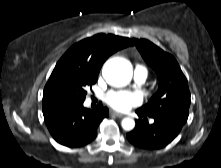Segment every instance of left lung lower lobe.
<instances>
[{
    "label": "left lung lower lobe",
    "instance_id": "1",
    "mask_svg": "<svg viewBox=\"0 0 221 168\" xmlns=\"http://www.w3.org/2000/svg\"><path fill=\"white\" fill-rule=\"evenodd\" d=\"M140 117L136 120L135 128L127 133V139L134 146L142 149H160L168 145L180 132L187 121L174 115H147L138 110ZM153 118L149 124L147 118Z\"/></svg>",
    "mask_w": 221,
    "mask_h": 168
}]
</instances>
